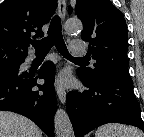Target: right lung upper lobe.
<instances>
[{
    "instance_id": "right-lung-upper-lobe-1",
    "label": "right lung upper lobe",
    "mask_w": 144,
    "mask_h": 137,
    "mask_svg": "<svg viewBox=\"0 0 144 137\" xmlns=\"http://www.w3.org/2000/svg\"><path fill=\"white\" fill-rule=\"evenodd\" d=\"M57 0H5L0 5V71L24 62L29 42L44 35Z\"/></svg>"
}]
</instances>
